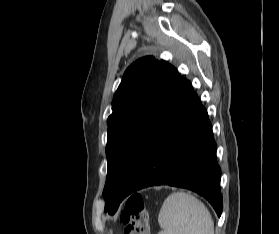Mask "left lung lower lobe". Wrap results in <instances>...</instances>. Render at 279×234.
Returning a JSON list of instances; mask_svg holds the SVG:
<instances>
[{"mask_svg":"<svg viewBox=\"0 0 279 234\" xmlns=\"http://www.w3.org/2000/svg\"><path fill=\"white\" fill-rule=\"evenodd\" d=\"M221 171L206 109L190 82L175 73L136 153L123 200L152 185H171L205 197L222 213Z\"/></svg>","mask_w":279,"mask_h":234,"instance_id":"left-lung-lower-lobe-1","label":"left lung lower lobe"}]
</instances>
